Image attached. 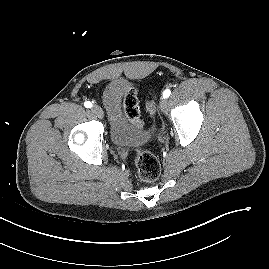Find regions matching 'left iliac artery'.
Masks as SVG:
<instances>
[{"instance_id": "1", "label": "left iliac artery", "mask_w": 269, "mask_h": 269, "mask_svg": "<svg viewBox=\"0 0 269 269\" xmlns=\"http://www.w3.org/2000/svg\"><path fill=\"white\" fill-rule=\"evenodd\" d=\"M171 94V91L169 89H166L164 92H163V98H168Z\"/></svg>"}]
</instances>
